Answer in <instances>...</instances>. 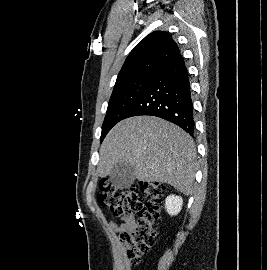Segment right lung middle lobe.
<instances>
[{"mask_svg":"<svg viewBox=\"0 0 267 270\" xmlns=\"http://www.w3.org/2000/svg\"><path fill=\"white\" fill-rule=\"evenodd\" d=\"M154 77L153 74L141 75L114 86L102 125L101 142L115 124L125 119Z\"/></svg>","mask_w":267,"mask_h":270,"instance_id":"obj_1","label":"right lung middle lobe"}]
</instances>
